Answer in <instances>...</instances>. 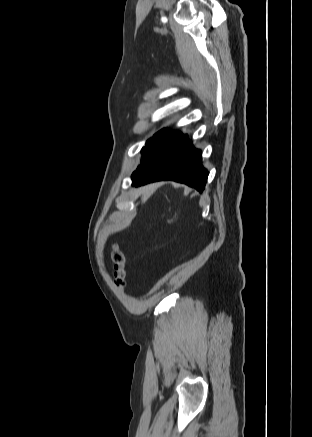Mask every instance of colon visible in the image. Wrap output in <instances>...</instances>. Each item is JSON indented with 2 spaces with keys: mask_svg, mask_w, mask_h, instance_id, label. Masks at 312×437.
<instances>
[{
  "mask_svg": "<svg viewBox=\"0 0 312 437\" xmlns=\"http://www.w3.org/2000/svg\"><path fill=\"white\" fill-rule=\"evenodd\" d=\"M111 259L114 264V276L117 286L124 287L125 271H124V255L122 251L115 245L111 251Z\"/></svg>",
  "mask_w": 312,
  "mask_h": 437,
  "instance_id": "5ec220e1",
  "label": "colon"
}]
</instances>
